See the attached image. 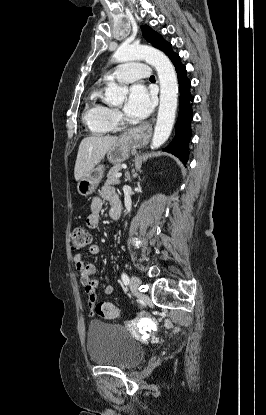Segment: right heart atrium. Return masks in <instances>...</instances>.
<instances>
[{
  "mask_svg": "<svg viewBox=\"0 0 266 415\" xmlns=\"http://www.w3.org/2000/svg\"><path fill=\"white\" fill-rule=\"evenodd\" d=\"M113 119H114L115 123L119 122V120H120V114H119V112L114 111V113H113Z\"/></svg>",
  "mask_w": 266,
  "mask_h": 415,
  "instance_id": "1",
  "label": "right heart atrium"
}]
</instances>
